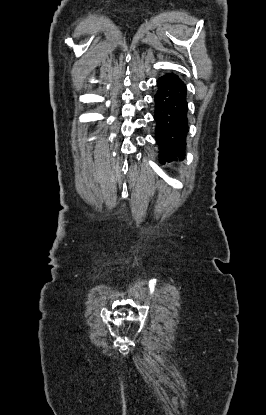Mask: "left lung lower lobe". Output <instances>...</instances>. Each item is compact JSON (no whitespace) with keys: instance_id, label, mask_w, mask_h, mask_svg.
<instances>
[{"instance_id":"0a47b994","label":"left lung lower lobe","mask_w":266,"mask_h":415,"mask_svg":"<svg viewBox=\"0 0 266 415\" xmlns=\"http://www.w3.org/2000/svg\"><path fill=\"white\" fill-rule=\"evenodd\" d=\"M157 82L158 90L154 96L155 139L159 146V160L164 163L185 155L188 133L187 88L175 73H167Z\"/></svg>"}]
</instances>
